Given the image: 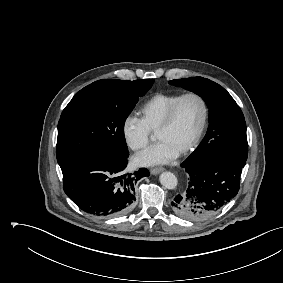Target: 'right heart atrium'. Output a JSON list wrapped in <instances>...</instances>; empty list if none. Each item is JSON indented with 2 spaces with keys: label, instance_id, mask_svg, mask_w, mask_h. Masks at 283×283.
<instances>
[{
  "label": "right heart atrium",
  "instance_id": "d8ad5b80",
  "mask_svg": "<svg viewBox=\"0 0 283 283\" xmlns=\"http://www.w3.org/2000/svg\"><path fill=\"white\" fill-rule=\"evenodd\" d=\"M121 132L126 145L133 151L142 150L151 139V131L143 120L132 113L123 119Z\"/></svg>",
  "mask_w": 283,
  "mask_h": 283
}]
</instances>
